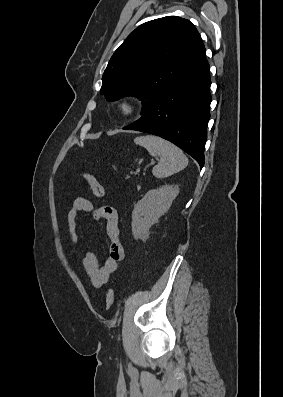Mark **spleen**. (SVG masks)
Listing matches in <instances>:
<instances>
[{"label": "spleen", "mask_w": 283, "mask_h": 397, "mask_svg": "<svg viewBox=\"0 0 283 397\" xmlns=\"http://www.w3.org/2000/svg\"><path fill=\"white\" fill-rule=\"evenodd\" d=\"M134 143L146 148L150 155L160 157L159 163L152 170L156 178L171 176L188 165V158L180 148L158 136H139L134 139Z\"/></svg>", "instance_id": "1"}]
</instances>
